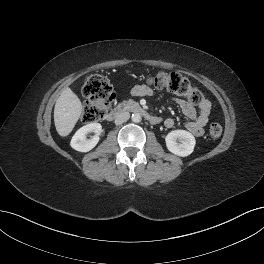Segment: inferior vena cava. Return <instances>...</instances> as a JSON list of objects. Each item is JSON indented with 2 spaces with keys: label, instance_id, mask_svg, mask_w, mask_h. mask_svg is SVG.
I'll return each mask as SVG.
<instances>
[{
  "label": "inferior vena cava",
  "instance_id": "obj_1",
  "mask_svg": "<svg viewBox=\"0 0 264 264\" xmlns=\"http://www.w3.org/2000/svg\"><path fill=\"white\" fill-rule=\"evenodd\" d=\"M130 118V113L129 112H121L119 113L116 118H115V124L120 125L124 122H126Z\"/></svg>",
  "mask_w": 264,
  "mask_h": 264
}]
</instances>
